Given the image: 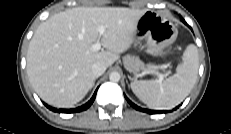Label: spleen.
<instances>
[{"label":"spleen","instance_id":"1","mask_svg":"<svg viewBox=\"0 0 231 134\" xmlns=\"http://www.w3.org/2000/svg\"><path fill=\"white\" fill-rule=\"evenodd\" d=\"M199 68L198 49L194 44L186 47L176 74L163 82L133 81V93L152 109H171L180 104L196 83Z\"/></svg>","mask_w":231,"mask_h":134}]
</instances>
